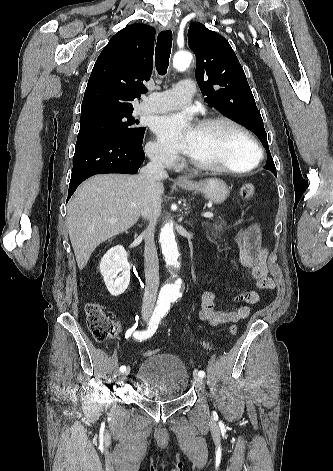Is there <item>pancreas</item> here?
I'll use <instances>...</instances> for the list:
<instances>
[{
  "label": "pancreas",
  "mask_w": 333,
  "mask_h": 471,
  "mask_svg": "<svg viewBox=\"0 0 333 471\" xmlns=\"http://www.w3.org/2000/svg\"><path fill=\"white\" fill-rule=\"evenodd\" d=\"M206 228L213 234H220L227 228V223L224 219L220 218L213 223H205Z\"/></svg>",
  "instance_id": "cf45deb5"
}]
</instances>
